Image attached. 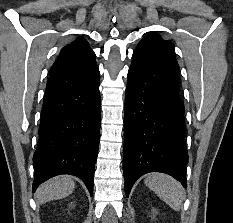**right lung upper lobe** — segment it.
I'll use <instances>...</instances> for the list:
<instances>
[{"label": "right lung upper lobe", "instance_id": "1", "mask_svg": "<svg viewBox=\"0 0 233 223\" xmlns=\"http://www.w3.org/2000/svg\"><path fill=\"white\" fill-rule=\"evenodd\" d=\"M93 63H95V53L89 47L88 42L80 37L62 48L49 74L76 70Z\"/></svg>", "mask_w": 233, "mask_h": 223}]
</instances>
